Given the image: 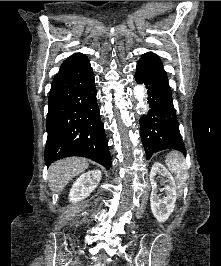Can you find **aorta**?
<instances>
[{
    "instance_id": "obj_1",
    "label": "aorta",
    "mask_w": 221,
    "mask_h": 266,
    "mask_svg": "<svg viewBox=\"0 0 221 266\" xmlns=\"http://www.w3.org/2000/svg\"><path fill=\"white\" fill-rule=\"evenodd\" d=\"M134 96L137 99V109H142L145 112L148 110V106L145 102L146 92L143 85H137L134 87Z\"/></svg>"
}]
</instances>
